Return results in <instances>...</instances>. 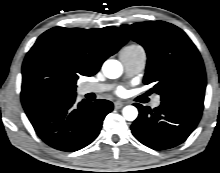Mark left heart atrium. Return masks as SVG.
Masks as SVG:
<instances>
[{
    "label": "left heart atrium",
    "mask_w": 220,
    "mask_h": 173,
    "mask_svg": "<svg viewBox=\"0 0 220 173\" xmlns=\"http://www.w3.org/2000/svg\"><path fill=\"white\" fill-rule=\"evenodd\" d=\"M117 94L123 95V94H125V90H124L123 88H119V89L117 90Z\"/></svg>",
    "instance_id": "left-heart-atrium-1"
}]
</instances>
